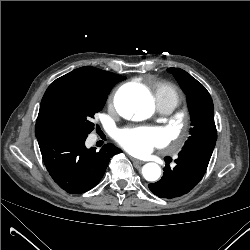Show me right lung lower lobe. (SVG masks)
I'll return each instance as SVG.
<instances>
[{"label": "right lung lower lobe", "instance_id": "1", "mask_svg": "<svg viewBox=\"0 0 250 250\" xmlns=\"http://www.w3.org/2000/svg\"><path fill=\"white\" fill-rule=\"evenodd\" d=\"M87 134L76 132L49 133L38 143L44 164L53 180L66 192L84 193L95 187L103 177L110 159L121 152L112 144L99 152L87 149Z\"/></svg>", "mask_w": 250, "mask_h": 250}]
</instances>
